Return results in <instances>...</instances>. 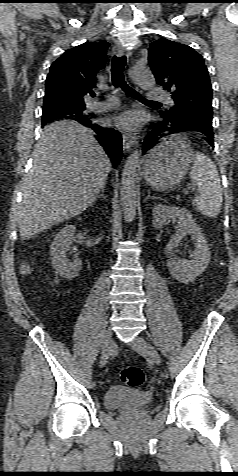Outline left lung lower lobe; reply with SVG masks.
Wrapping results in <instances>:
<instances>
[{
    "mask_svg": "<svg viewBox=\"0 0 238 476\" xmlns=\"http://www.w3.org/2000/svg\"><path fill=\"white\" fill-rule=\"evenodd\" d=\"M187 131L203 134V139L214 148L212 118L196 114H160V119L144 140L143 152L155 147L162 137Z\"/></svg>",
    "mask_w": 238,
    "mask_h": 476,
    "instance_id": "0a47b994",
    "label": "left lung lower lobe"
}]
</instances>
